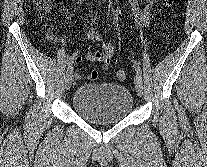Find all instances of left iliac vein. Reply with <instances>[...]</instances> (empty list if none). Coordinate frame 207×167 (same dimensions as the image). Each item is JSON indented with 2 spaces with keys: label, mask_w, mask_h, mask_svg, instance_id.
Here are the masks:
<instances>
[{
  "label": "left iliac vein",
  "mask_w": 207,
  "mask_h": 167,
  "mask_svg": "<svg viewBox=\"0 0 207 167\" xmlns=\"http://www.w3.org/2000/svg\"><path fill=\"white\" fill-rule=\"evenodd\" d=\"M134 82H135V88H136L137 94L141 97L144 92L142 77L136 74L134 78Z\"/></svg>",
  "instance_id": "left-iliac-vein-1"
}]
</instances>
